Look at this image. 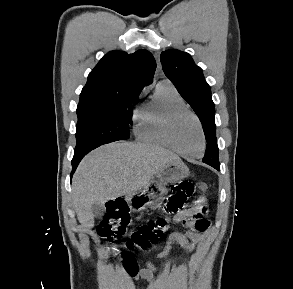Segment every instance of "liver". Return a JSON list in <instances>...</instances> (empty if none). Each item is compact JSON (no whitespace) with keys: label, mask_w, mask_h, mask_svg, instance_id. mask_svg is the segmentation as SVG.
Here are the masks:
<instances>
[{"label":"liver","mask_w":293,"mask_h":289,"mask_svg":"<svg viewBox=\"0 0 293 289\" xmlns=\"http://www.w3.org/2000/svg\"><path fill=\"white\" fill-rule=\"evenodd\" d=\"M172 161L181 160L164 148L145 143L114 142L93 150L73 176V205L78 221L84 227H92L94 203L137 193Z\"/></svg>","instance_id":"1"}]
</instances>
